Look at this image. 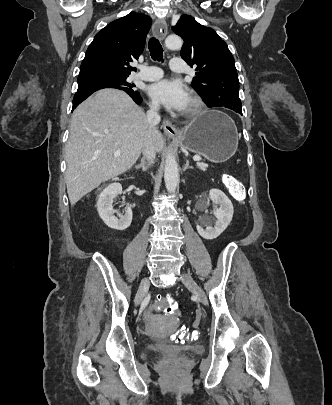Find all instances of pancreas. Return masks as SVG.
Instances as JSON below:
<instances>
[{"mask_svg": "<svg viewBox=\"0 0 332 405\" xmlns=\"http://www.w3.org/2000/svg\"><path fill=\"white\" fill-rule=\"evenodd\" d=\"M197 167H198L200 170L205 171L206 168L208 167V165L205 164V163H203V162H198V163H197Z\"/></svg>", "mask_w": 332, "mask_h": 405, "instance_id": "cf45deb5", "label": "pancreas"}]
</instances>
